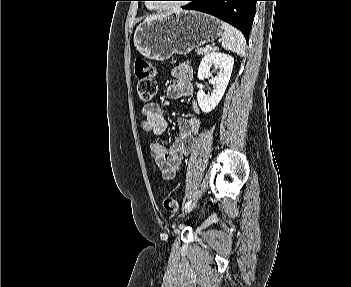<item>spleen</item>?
I'll list each match as a JSON object with an SVG mask.
<instances>
[{"instance_id": "spleen-1", "label": "spleen", "mask_w": 351, "mask_h": 287, "mask_svg": "<svg viewBox=\"0 0 351 287\" xmlns=\"http://www.w3.org/2000/svg\"><path fill=\"white\" fill-rule=\"evenodd\" d=\"M224 33L222 35V47L237 55L244 56L246 43L243 34L228 23L222 22Z\"/></svg>"}]
</instances>
